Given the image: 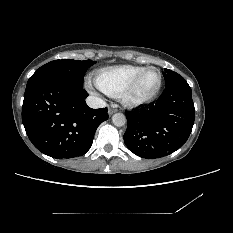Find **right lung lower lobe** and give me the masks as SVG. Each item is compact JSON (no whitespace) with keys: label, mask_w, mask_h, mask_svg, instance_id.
<instances>
[{"label":"right lung lower lobe","mask_w":233,"mask_h":233,"mask_svg":"<svg viewBox=\"0 0 233 233\" xmlns=\"http://www.w3.org/2000/svg\"><path fill=\"white\" fill-rule=\"evenodd\" d=\"M88 93L65 81L46 80L26 87L22 122L32 144L53 158L84 155L98 126L108 119L107 108L92 109Z\"/></svg>","instance_id":"right-lung-lower-lobe-1"}]
</instances>
